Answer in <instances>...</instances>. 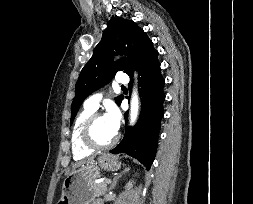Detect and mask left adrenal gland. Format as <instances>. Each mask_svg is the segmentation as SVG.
Listing matches in <instances>:
<instances>
[{"label": "left adrenal gland", "instance_id": "left-adrenal-gland-1", "mask_svg": "<svg viewBox=\"0 0 253 204\" xmlns=\"http://www.w3.org/2000/svg\"><path fill=\"white\" fill-rule=\"evenodd\" d=\"M130 170L129 167H126L121 173L116 174V176L113 178V181L110 185L109 190L113 189L115 185L117 184L118 179L122 176V174L128 172Z\"/></svg>", "mask_w": 253, "mask_h": 204}]
</instances>
